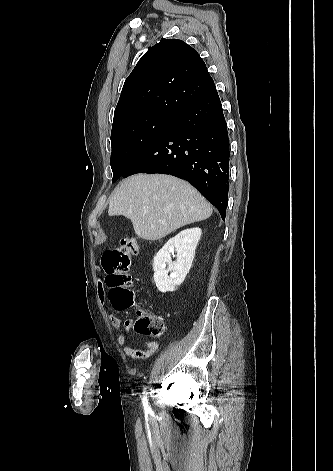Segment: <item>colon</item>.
I'll use <instances>...</instances> for the list:
<instances>
[{
  "instance_id": "5ec220e1",
  "label": "colon",
  "mask_w": 333,
  "mask_h": 471,
  "mask_svg": "<svg viewBox=\"0 0 333 471\" xmlns=\"http://www.w3.org/2000/svg\"><path fill=\"white\" fill-rule=\"evenodd\" d=\"M137 253L138 242L131 236L122 239L117 248L106 251L102 256V266L107 273L106 283L110 288L109 298L113 307L119 311L127 310L134 305L130 268L132 257ZM135 330L152 338H161L165 326L160 316L139 309Z\"/></svg>"
}]
</instances>
